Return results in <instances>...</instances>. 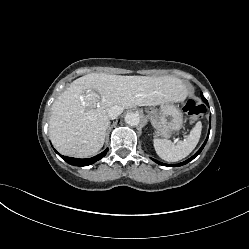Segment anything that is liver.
<instances>
[{
  "mask_svg": "<svg viewBox=\"0 0 249 249\" xmlns=\"http://www.w3.org/2000/svg\"><path fill=\"white\" fill-rule=\"evenodd\" d=\"M186 95V86L172 76L91 73L74 80L52 104L50 138L65 156H93L104 144L112 106H157L180 102Z\"/></svg>",
  "mask_w": 249,
  "mask_h": 249,
  "instance_id": "obj_1",
  "label": "liver"
}]
</instances>
